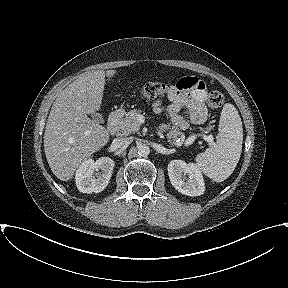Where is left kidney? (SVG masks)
Returning a JSON list of instances; mask_svg holds the SVG:
<instances>
[{
    "label": "left kidney",
    "instance_id": "5707ae66",
    "mask_svg": "<svg viewBox=\"0 0 288 288\" xmlns=\"http://www.w3.org/2000/svg\"><path fill=\"white\" fill-rule=\"evenodd\" d=\"M168 175L174 188L187 196H200L204 193V179L199 168L193 163L172 160L168 164Z\"/></svg>",
    "mask_w": 288,
    "mask_h": 288
}]
</instances>
